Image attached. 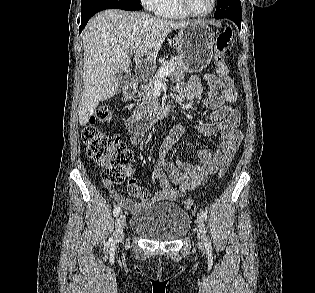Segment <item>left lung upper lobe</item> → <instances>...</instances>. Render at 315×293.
<instances>
[{
  "instance_id": "left-lung-upper-lobe-1",
  "label": "left lung upper lobe",
  "mask_w": 315,
  "mask_h": 293,
  "mask_svg": "<svg viewBox=\"0 0 315 293\" xmlns=\"http://www.w3.org/2000/svg\"><path fill=\"white\" fill-rule=\"evenodd\" d=\"M240 0H217V8L214 14L215 19L241 17Z\"/></svg>"
}]
</instances>
